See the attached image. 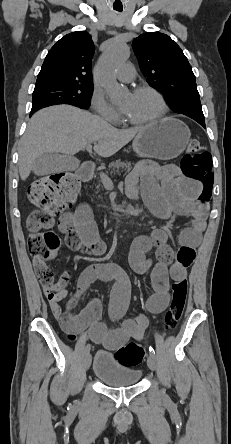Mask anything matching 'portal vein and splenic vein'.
<instances>
[{
    "instance_id": "1",
    "label": "portal vein and splenic vein",
    "mask_w": 231,
    "mask_h": 444,
    "mask_svg": "<svg viewBox=\"0 0 231 444\" xmlns=\"http://www.w3.org/2000/svg\"><path fill=\"white\" fill-rule=\"evenodd\" d=\"M86 149H87L88 152H91L92 145L91 144L87 145ZM100 178H101V181H102L104 187L113 188V182L109 178L108 175H106L105 173L101 172L100 173Z\"/></svg>"
}]
</instances>
